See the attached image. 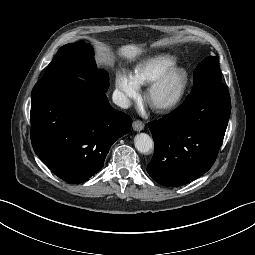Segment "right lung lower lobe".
Returning <instances> with one entry per match:
<instances>
[{
    "instance_id": "obj_1",
    "label": "right lung lower lobe",
    "mask_w": 255,
    "mask_h": 255,
    "mask_svg": "<svg viewBox=\"0 0 255 255\" xmlns=\"http://www.w3.org/2000/svg\"><path fill=\"white\" fill-rule=\"evenodd\" d=\"M132 126L105 92L74 76H43L31 95V141L36 154L69 183L89 180L112 144Z\"/></svg>"
}]
</instances>
